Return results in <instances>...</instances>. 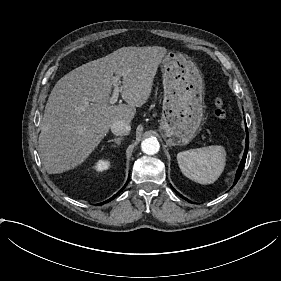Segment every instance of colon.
Here are the masks:
<instances>
[{
	"mask_svg": "<svg viewBox=\"0 0 281 281\" xmlns=\"http://www.w3.org/2000/svg\"><path fill=\"white\" fill-rule=\"evenodd\" d=\"M213 115L218 122H225L230 117V105L222 97H218L213 103Z\"/></svg>",
	"mask_w": 281,
	"mask_h": 281,
	"instance_id": "1",
	"label": "colon"
}]
</instances>
